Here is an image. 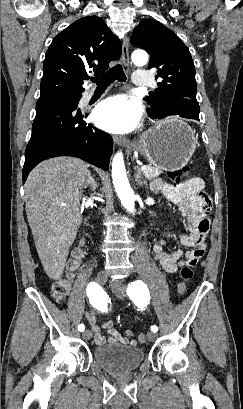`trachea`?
<instances>
[{
    "label": "trachea",
    "instance_id": "1",
    "mask_svg": "<svg viewBox=\"0 0 243 409\" xmlns=\"http://www.w3.org/2000/svg\"><path fill=\"white\" fill-rule=\"evenodd\" d=\"M115 79H117L119 82L126 81V75L120 64L115 65L102 75H96L94 78H92V81L96 83L97 87H105L110 85Z\"/></svg>",
    "mask_w": 243,
    "mask_h": 409
}]
</instances>
